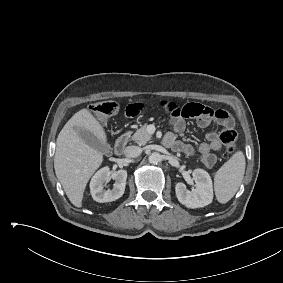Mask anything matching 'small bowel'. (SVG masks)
Segmentation results:
<instances>
[{
  "mask_svg": "<svg viewBox=\"0 0 283 283\" xmlns=\"http://www.w3.org/2000/svg\"><path fill=\"white\" fill-rule=\"evenodd\" d=\"M160 104L169 115L173 130L165 136V145L189 156L197 155L205 167H213L217 161L216 155L213 152L219 151L222 147L216 130H210L207 133L206 141L201 143L197 150L192 145L178 140L177 135L185 130V119L188 118H195L200 128H207L211 124L232 128L234 126V120L231 115L222 109L215 110L200 103H188L181 106L174 101L163 100ZM144 108V102H133L127 106L125 114L127 117H135Z\"/></svg>",
  "mask_w": 283,
  "mask_h": 283,
  "instance_id": "obj_1",
  "label": "small bowel"
}]
</instances>
